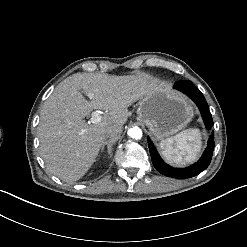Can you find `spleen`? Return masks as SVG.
Here are the masks:
<instances>
[{
  "mask_svg": "<svg viewBox=\"0 0 247 247\" xmlns=\"http://www.w3.org/2000/svg\"><path fill=\"white\" fill-rule=\"evenodd\" d=\"M176 141L183 149L177 156L168 148L170 143ZM161 153L169 163H174L178 166H184L197 160L201 148V133L199 129L184 130L173 138L165 139L160 142ZM188 149L187 153L185 149ZM182 155H185L183 158Z\"/></svg>",
  "mask_w": 247,
  "mask_h": 247,
  "instance_id": "spleen-1",
  "label": "spleen"
}]
</instances>
